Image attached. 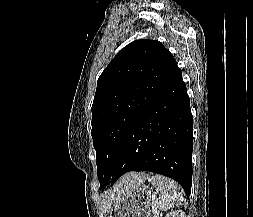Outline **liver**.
Instances as JSON below:
<instances>
[{"label":"liver","mask_w":253,"mask_h":217,"mask_svg":"<svg viewBox=\"0 0 253 217\" xmlns=\"http://www.w3.org/2000/svg\"><path fill=\"white\" fill-rule=\"evenodd\" d=\"M148 175L143 172H131L125 174L105 196L106 210L110 212L112 203L115 199L121 197L125 193L133 190L137 186L143 184Z\"/></svg>","instance_id":"1"}]
</instances>
